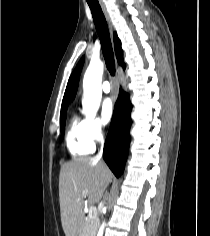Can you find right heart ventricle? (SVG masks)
Listing matches in <instances>:
<instances>
[{
	"label": "right heart ventricle",
	"mask_w": 210,
	"mask_h": 236,
	"mask_svg": "<svg viewBox=\"0 0 210 236\" xmlns=\"http://www.w3.org/2000/svg\"><path fill=\"white\" fill-rule=\"evenodd\" d=\"M66 146L73 157L85 156L94 151V142L87 133V120L76 113L69 119L66 129Z\"/></svg>",
	"instance_id": "e07e8e85"
}]
</instances>
